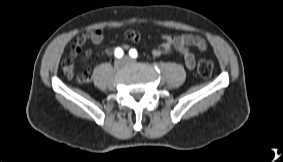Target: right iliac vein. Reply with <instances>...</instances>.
<instances>
[{
	"label": "right iliac vein",
	"instance_id": "right-iliac-vein-1",
	"mask_svg": "<svg viewBox=\"0 0 283 162\" xmlns=\"http://www.w3.org/2000/svg\"><path fill=\"white\" fill-rule=\"evenodd\" d=\"M124 65H125L124 60H117V61L115 62V68H116V69H120V68H122Z\"/></svg>",
	"mask_w": 283,
	"mask_h": 162
}]
</instances>
